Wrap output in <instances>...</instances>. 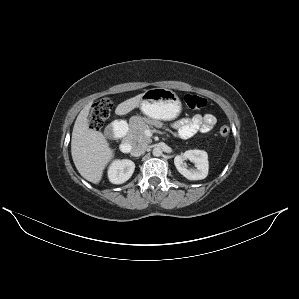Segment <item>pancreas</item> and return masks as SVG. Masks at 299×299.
<instances>
[{
	"mask_svg": "<svg viewBox=\"0 0 299 299\" xmlns=\"http://www.w3.org/2000/svg\"><path fill=\"white\" fill-rule=\"evenodd\" d=\"M151 126L157 128H162L163 123L148 118H141L138 123L131 121V130L129 133L130 140L137 142L139 144H149L152 142L151 138L145 135V130L149 129Z\"/></svg>",
	"mask_w": 299,
	"mask_h": 299,
	"instance_id": "obj_1",
	"label": "pancreas"
}]
</instances>
